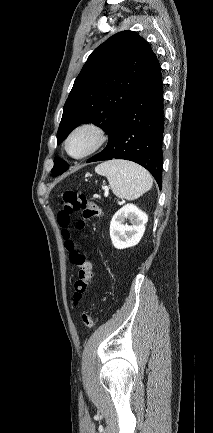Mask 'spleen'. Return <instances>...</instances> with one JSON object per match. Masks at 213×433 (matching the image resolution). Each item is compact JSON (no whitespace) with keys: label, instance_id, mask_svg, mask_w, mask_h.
Returning a JSON list of instances; mask_svg holds the SVG:
<instances>
[{"label":"spleen","instance_id":"1","mask_svg":"<svg viewBox=\"0 0 213 433\" xmlns=\"http://www.w3.org/2000/svg\"><path fill=\"white\" fill-rule=\"evenodd\" d=\"M95 172L107 178L111 190L121 199H137L150 190L153 184L146 169L129 161H106L99 164Z\"/></svg>","mask_w":213,"mask_h":433}]
</instances>
